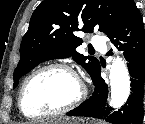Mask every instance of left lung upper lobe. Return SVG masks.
I'll use <instances>...</instances> for the list:
<instances>
[{
	"mask_svg": "<svg viewBox=\"0 0 145 124\" xmlns=\"http://www.w3.org/2000/svg\"><path fill=\"white\" fill-rule=\"evenodd\" d=\"M133 5V0H44L32 14L22 39L14 88L40 62L67 57L82 65L94 80L100 63L76 51L83 41L75 32L92 33L96 28L110 38Z\"/></svg>",
	"mask_w": 145,
	"mask_h": 124,
	"instance_id": "obj_1",
	"label": "left lung upper lobe"
}]
</instances>
